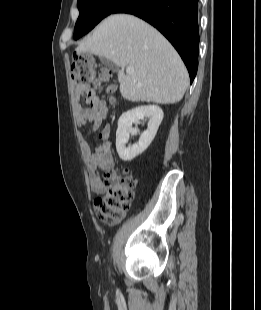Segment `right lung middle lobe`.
Listing matches in <instances>:
<instances>
[{
	"instance_id": "1",
	"label": "right lung middle lobe",
	"mask_w": 261,
	"mask_h": 310,
	"mask_svg": "<svg viewBox=\"0 0 261 310\" xmlns=\"http://www.w3.org/2000/svg\"><path fill=\"white\" fill-rule=\"evenodd\" d=\"M125 0H78L79 17L75 25L74 39L88 33L103 18L110 15Z\"/></svg>"
}]
</instances>
